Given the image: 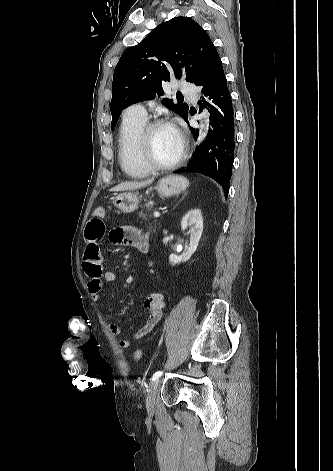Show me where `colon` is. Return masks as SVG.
Instances as JSON below:
<instances>
[{"mask_svg": "<svg viewBox=\"0 0 333 471\" xmlns=\"http://www.w3.org/2000/svg\"><path fill=\"white\" fill-rule=\"evenodd\" d=\"M105 215V209L103 207H97L93 211V216L94 217H103ZM143 352L141 349H136L134 352V357L137 360H140L142 358Z\"/></svg>", "mask_w": 333, "mask_h": 471, "instance_id": "colon-1", "label": "colon"}]
</instances>
